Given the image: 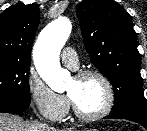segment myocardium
Masks as SVG:
<instances>
[{"label": "myocardium", "mask_w": 147, "mask_h": 131, "mask_svg": "<svg viewBox=\"0 0 147 131\" xmlns=\"http://www.w3.org/2000/svg\"><path fill=\"white\" fill-rule=\"evenodd\" d=\"M88 77H96L104 85V88L106 91V101H105L103 108L95 113L86 114V113H83L82 111H80V109L77 107L75 101L73 100V98L69 94H68V97L71 102L72 110L77 118L84 120V121H94V120H98V119H101V118L107 116L111 112V110L114 106V102H115V92H114V88H113V85H112L110 79L99 70H95V69L83 70V71H80L75 76V78H77V79H84V78H88Z\"/></svg>", "instance_id": "1"}]
</instances>
